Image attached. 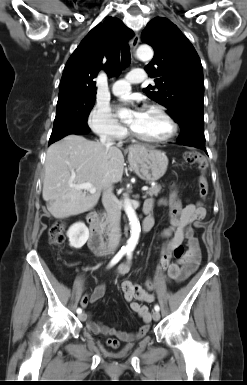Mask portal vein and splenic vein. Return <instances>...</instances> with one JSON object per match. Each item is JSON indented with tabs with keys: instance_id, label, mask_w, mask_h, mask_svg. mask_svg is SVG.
Wrapping results in <instances>:
<instances>
[{
	"instance_id": "18ae733b",
	"label": "portal vein and splenic vein",
	"mask_w": 247,
	"mask_h": 385,
	"mask_svg": "<svg viewBox=\"0 0 247 385\" xmlns=\"http://www.w3.org/2000/svg\"><path fill=\"white\" fill-rule=\"evenodd\" d=\"M71 186L76 188V189L87 190L90 193H95L96 192V188L93 187V185L90 182H86V183H82V184H77V185H71ZM147 190H148L147 186L142 187V191H147Z\"/></svg>"
}]
</instances>
